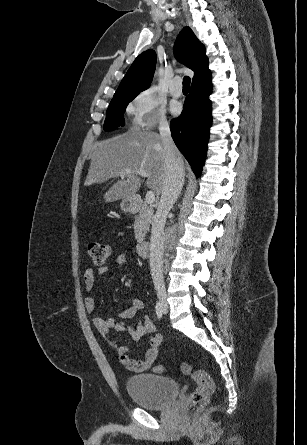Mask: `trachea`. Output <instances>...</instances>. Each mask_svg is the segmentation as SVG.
I'll return each mask as SVG.
<instances>
[{"mask_svg": "<svg viewBox=\"0 0 307 445\" xmlns=\"http://www.w3.org/2000/svg\"><path fill=\"white\" fill-rule=\"evenodd\" d=\"M190 82H191L190 77L185 76V77L183 78V89H189V87H190Z\"/></svg>", "mask_w": 307, "mask_h": 445, "instance_id": "1", "label": "trachea"}]
</instances>
